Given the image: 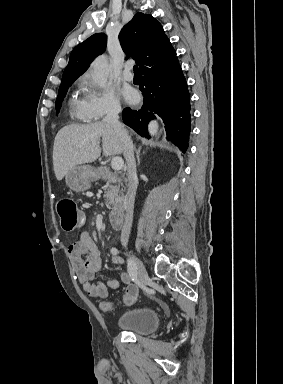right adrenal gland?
I'll return each instance as SVG.
<instances>
[{"instance_id":"obj_1","label":"right adrenal gland","mask_w":283,"mask_h":384,"mask_svg":"<svg viewBox=\"0 0 283 384\" xmlns=\"http://www.w3.org/2000/svg\"><path fill=\"white\" fill-rule=\"evenodd\" d=\"M142 146H140V148H138V150H136L135 146H133V150L136 154V158H137V166H139L140 164V158H139V154H140V150H141Z\"/></svg>"}]
</instances>
